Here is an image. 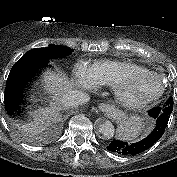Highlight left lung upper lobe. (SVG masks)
Returning <instances> with one entry per match:
<instances>
[{
  "label": "left lung upper lobe",
  "instance_id": "obj_1",
  "mask_svg": "<svg viewBox=\"0 0 177 177\" xmlns=\"http://www.w3.org/2000/svg\"><path fill=\"white\" fill-rule=\"evenodd\" d=\"M173 98L172 96L165 102V104L163 106H171V108H173Z\"/></svg>",
  "mask_w": 177,
  "mask_h": 177
}]
</instances>
